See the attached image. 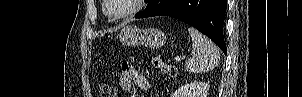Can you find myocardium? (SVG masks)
Listing matches in <instances>:
<instances>
[{
    "label": "myocardium",
    "mask_w": 302,
    "mask_h": 97,
    "mask_svg": "<svg viewBox=\"0 0 302 97\" xmlns=\"http://www.w3.org/2000/svg\"><path fill=\"white\" fill-rule=\"evenodd\" d=\"M104 13L112 20H122V19H126L129 18L135 14H137L139 11L142 10L143 5L145 3V0H133V7L120 15H115L113 14L110 9H109V0H104Z\"/></svg>",
    "instance_id": "1"
}]
</instances>
